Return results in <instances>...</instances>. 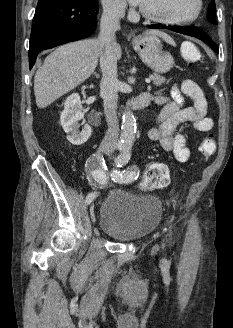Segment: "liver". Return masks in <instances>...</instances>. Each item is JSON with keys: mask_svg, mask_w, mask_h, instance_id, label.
I'll return each mask as SVG.
<instances>
[{"mask_svg": "<svg viewBox=\"0 0 233 328\" xmlns=\"http://www.w3.org/2000/svg\"><path fill=\"white\" fill-rule=\"evenodd\" d=\"M147 35L162 37L169 43L172 39L161 31L151 30ZM102 45L98 39H86L58 47L49 54L34 77L36 104L45 108L62 95L84 82L95 70ZM113 52L121 58L122 49L115 43Z\"/></svg>", "mask_w": 233, "mask_h": 328, "instance_id": "obj_1", "label": "liver"}]
</instances>
